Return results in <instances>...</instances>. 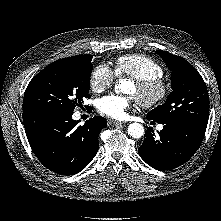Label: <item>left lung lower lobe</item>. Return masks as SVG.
<instances>
[{"label":"left lung lower lobe","instance_id":"0a47b994","mask_svg":"<svg viewBox=\"0 0 221 221\" xmlns=\"http://www.w3.org/2000/svg\"><path fill=\"white\" fill-rule=\"evenodd\" d=\"M163 125L158 137L148 128L138 149L140 157L157 170L174 169L186 163L199 148L206 131V127L191 123Z\"/></svg>","mask_w":221,"mask_h":221}]
</instances>
